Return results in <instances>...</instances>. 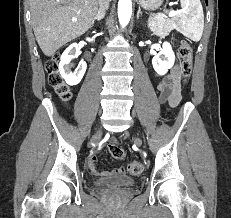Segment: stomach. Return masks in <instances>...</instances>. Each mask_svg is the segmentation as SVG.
I'll list each match as a JSON object with an SVG mask.
<instances>
[{"label": "stomach", "mask_w": 231, "mask_h": 218, "mask_svg": "<svg viewBox=\"0 0 231 218\" xmlns=\"http://www.w3.org/2000/svg\"><path fill=\"white\" fill-rule=\"evenodd\" d=\"M138 3L144 9L156 10L162 5L163 0H138Z\"/></svg>", "instance_id": "stomach-1"}]
</instances>
